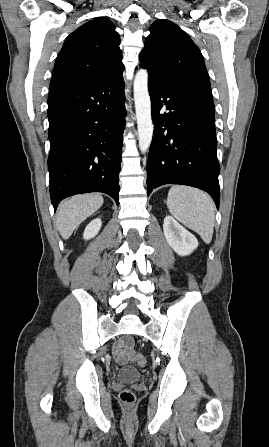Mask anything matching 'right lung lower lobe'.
<instances>
[{"label":"right lung lower lobe","mask_w":269,"mask_h":447,"mask_svg":"<svg viewBox=\"0 0 269 447\" xmlns=\"http://www.w3.org/2000/svg\"><path fill=\"white\" fill-rule=\"evenodd\" d=\"M124 79L49 90L50 196L56 210L71 195L103 192L119 204Z\"/></svg>","instance_id":"98d812e1"}]
</instances>
